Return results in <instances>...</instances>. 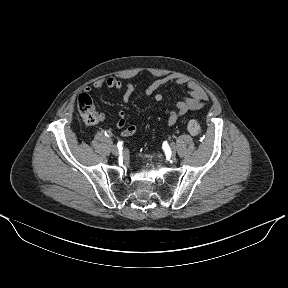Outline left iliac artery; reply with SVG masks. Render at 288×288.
Wrapping results in <instances>:
<instances>
[{"instance_id": "left-iliac-artery-1", "label": "left iliac artery", "mask_w": 288, "mask_h": 288, "mask_svg": "<svg viewBox=\"0 0 288 288\" xmlns=\"http://www.w3.org/2000/svg\"><path fill=\"white\" fill-rule=\"evenodd\" d=\"M167 143L168 144H173L174 143V138L173 137H168L167 138Z\"/></svg>"}]
</instances>
